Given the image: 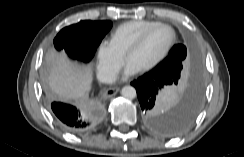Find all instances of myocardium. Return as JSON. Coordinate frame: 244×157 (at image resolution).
I'll return each mask as SVG.
<instances>
[{
    "mask_svg": "<svg viewBox=\"0 0 244 157\" xmlns=\"http://www.w3.org/2000/svg\"><path fill=\"white\" fill-rule=\"evenodd\" d=\"M159 27H165V28H169L172 32V37L170 42L168 43V45L166 46V48L162 51V53L154 60L152 61L150 64L146 65L145 67L139 69V72H148L152 69H154L158 64H160L164 58L168 55L169 51L171 50V48L174 46L175 42H176V31L174 29V27L170 24L167 23H157L149 28H147L146 30H144L137 38L136 40L127 48V50L124 53V59L126 61H128L129 56L136 51L145 41L146 37L156 28Z\"/></svg>",
    "mask_w": 244,
    "mask_h": 157,
    "instance_id": "1",
    "label": "myocardium"
}]
</instances>
